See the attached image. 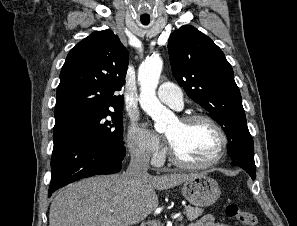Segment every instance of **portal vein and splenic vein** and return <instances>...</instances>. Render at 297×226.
<instances>
[{
  "mask_svg": "<svg viewBox=\"0 0 297 226\" xmlns=\"http://www.w3.org/2000/svg\"><path fill=\"white\" fill-rule=\"evenodd\" d=\"M172 219H177L178 221H181L183 219V215H180V214L175 215V216L172 217Z\"/></svg>",
  "mask_w": 297,
  "mask_h": 226,
  "instance_id": "portal-vein-and-splenic-vein-1",
  "label": "portal vein and splenic vein"
}]
</instances>
